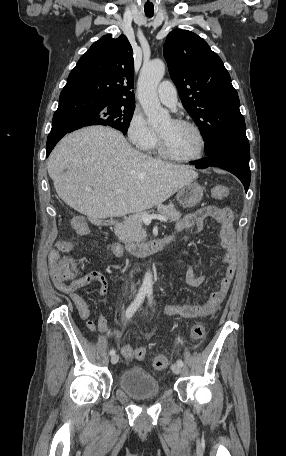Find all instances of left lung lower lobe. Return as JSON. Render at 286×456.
Instances as JSON below:
<instances>
[{
  "mask_svg": "<svg viewBox=\"0 0 286 456\" xmlns=\"http://www.w3.org/2000/svg\"><path fill=\"white\" fill-rule=\"evenodd\" d=\"M205 152L208 158L204 161L194 162L196 168L203 169L214 166L225 169L240 179L247 192L251 178L248 141L227 140L219 142Z\"/></svg>",
  "mask_w": 286,
  "mask_h": 456,
  "instance_id": "0a47b994",
  "label": "left lung lower lobe"
}]
</instances>
